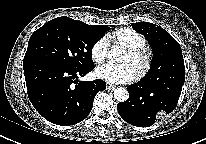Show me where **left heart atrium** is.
I'll return each mask as SVG.
<instances>
[{
  "label": "left heart atrium",
  "instance_id": "1",
  "mask_svg": "<svg viewBox=\"0 0 206 144\" xmlns=\"http://www.w3.org/2000/svg\"><path fill=\"white\" fill-rule=\"evenodd\" d=\"M98 78L113 84L132 82L137 77V70L131 63H107L96 70Z\"/></svg>",
  "mask_w": 206,
  "mask_h": 144
}]
</instances>
